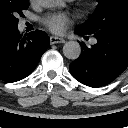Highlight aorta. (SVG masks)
Masks as SVG:
<instances>
[{"mask_svg": "<svg viewBox=\"0 0 128 128\" xmlns=\"http://www.w3.org/2000/svg\"><path fill=\"white\" fill-rule=\"evenodd\" d=\"M44 8H54L62 3V0H38ZM63 54L66 58L76 60L81 54V46L77 41H68L63 46Z\"/></svg>", "mask_w": 128, "mask_h": 128, "instance_id": "obj_1", "label": "aorta"}]
</instances>
